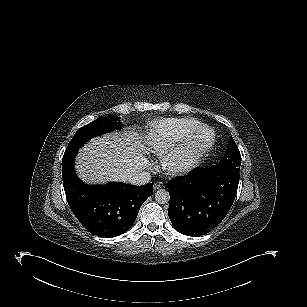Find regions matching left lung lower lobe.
I'll list each match as a JSON object with an SVG mask.
<instances>
[{"label":"left lung lower lobe","instance_id":"1","mask_svg":"<svg viewBox=\"0 0 307 307\" xmlns=\"http://www.w3.org/2000/svg\"><path fill=\"white\" fill-rule=\"evenodd\" d=\"M239 172L230 168H196L168 182L169 218L174 228L188 236H202L215 228L233 204Z\"/></svg>","mask_w":307,"mask_h":307}]
</instances>
